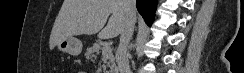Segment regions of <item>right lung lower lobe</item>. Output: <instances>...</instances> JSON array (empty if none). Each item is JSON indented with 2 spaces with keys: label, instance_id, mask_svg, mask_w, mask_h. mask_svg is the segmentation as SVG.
Returning <instances> with one entry per match:
<instances>
[{
  "label": "right lung lower lobe",
  "instance_id": "right-lung-lower-lobe-1",
  "mask_svg": "<svg viewBox=\"0 0 244 73\" xmlns=\"http://www.w3.org/2000/svg\"><path fill=\"white\" fill-rule=\"evenodd\" d=\"M136 5L145 22L151 26L155 15L157 0H136Z\"/></svg>",
  "mask_w": 244,
  "mask_h": 73
}]
</instances>
